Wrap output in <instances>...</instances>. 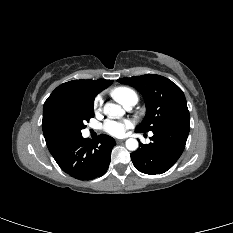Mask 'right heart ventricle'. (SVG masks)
Segmentation results:
<instances>
[{"mask_svg":"<svg viewBox=\"0 0 233 233\" xmlns=\"http://www.w3.org/2000/svg\"><path fill=\"white\" fill-rule=\"evenodd\" d=\"M111 95L115 100L124 106L131 102H134L135 104L138 102L137 93L132 88L126 86H118L113 88L111 90Z\"/></svg>","mask_w":233,"mask_h":233,"instance_id":"obj_1","label":"right heart ventricle"}]
</instances>
